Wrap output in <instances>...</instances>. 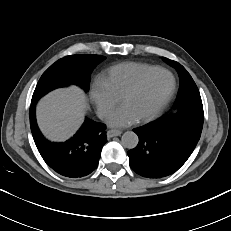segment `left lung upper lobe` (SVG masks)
Instances as JSON below:
<instances>
[{"mask_svg": "<svg viewBox=\"0 0 231 231\" xmlns=\"http://www.w3.org/2000/svg\"><path fill=\"white\" fill-rule=\"evenodd\" d=\"M164 61L173 66L180 77L175 108L177 112L166 115L160 119L194 118L203 120V105L199 90L190 74L178 62L163 57Z\"/></svg>", "mask_w": 231, "mask_h": 231, "instance_id": "obj_1", "label": "left lung upper lobe"}]
</instances>
